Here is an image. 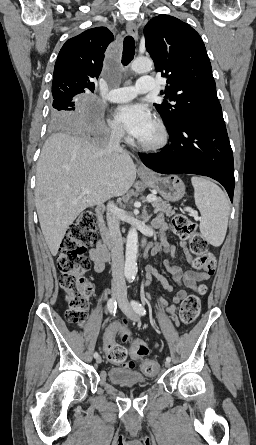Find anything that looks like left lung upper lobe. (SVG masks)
<instances>
[{"mask_svg": "<svg viewBox=\"0 0 256 445\" xmlns=\"http://www.w3.org/2000/svg\"><path fill=\"white\" fill-rule=\"evenodd\" d=\"M144 34L157 72L167 78L162 93L175 102L154 103L166 126L173 127L187 114L222 116L211 63L199 34L169 15L151 19Z\"/></svg>", "mask_w": 256, "mask_h": 445, "instance_id": "5c2ea615", "label": "left lung upper lobe"}]
</instances>
